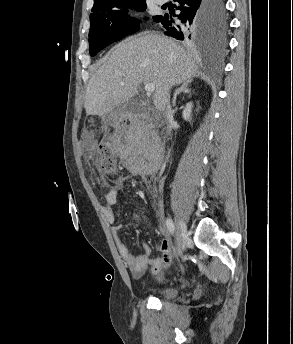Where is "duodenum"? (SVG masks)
<instances>
[{
	"mask_svg": "<svg viewBox=\"0 0 293 344\" xmlns=\"http://www.w3.org/2000/svg\"><path fill=\"white\" fill-rule=\"evenodd\" d=\"M135 123H136V120L134 118H124L123 119V124L134 125Z\"/></svg>",
	"mask_w": 293,
	"mask_h": 344,
	"instance_id": "1",
	"label": "duodenum"
}]
</instances>
